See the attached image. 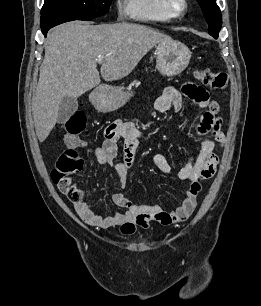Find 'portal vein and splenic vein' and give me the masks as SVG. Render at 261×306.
Returning <instances> with one entry per match:
<instances>
[{"label":"portal vein and splenic vein","instance_id":"18ae733b","mask_svg":"<svg viewBox=\"0 0 261 306\" xmlns=\"http://www.w3.org/2000/svg\"><path fill=\"white\" fill-rule=\"evenodd\" d=\"M96 61H97V63L101 64V63L104 62V58H103V57H98V58L96 59Z\"/></svg>","mask_w":261,"mask_h":306}]
</instances>
